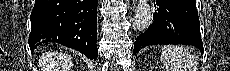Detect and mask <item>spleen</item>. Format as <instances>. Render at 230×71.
<instances>
[{
  "mask_svg": "<svg viewBox=\"0 0 230 71\" xmlns=\"http://www.w3.org/2000/svg\"><path fill=\"white\" fill-rule=\"evenodd\" d=\"M161 61L166 71H197L194 56L182 46H164L161 49Z\"/></svg>",
  "mask_w": 230,
  "mask_h": 71,
  "instance_id": "3e777b00",
  "label": "spleen"
}]
</instances>
